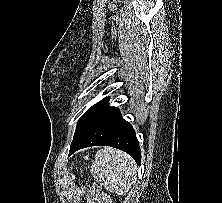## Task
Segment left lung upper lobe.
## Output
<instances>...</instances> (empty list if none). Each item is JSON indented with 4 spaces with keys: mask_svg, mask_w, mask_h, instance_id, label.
<instances>
[{
    "mask_svg": "<svg viewBox=\"0 0 222 203\" xmlns=\"http://www.w3.org/2000/svg\"><path fill=\"white\" fill-rule=\"evenodd\" d=\"M109 98H104L100 102L94 104L91 106L78 120L76 132L74 134V138H76L78 135L81 134V132L84 130V128L87 126V124L91 121V119L94 117V115L99 111V109L102 107V105L108 100Z\"/></svg>",
    "mask_w": 222,
    "mask_h": 203,
    "instance_id": "left-lung-upper-lobe-1",
    "label": "left lung upper lobe"
}]
</instances>
